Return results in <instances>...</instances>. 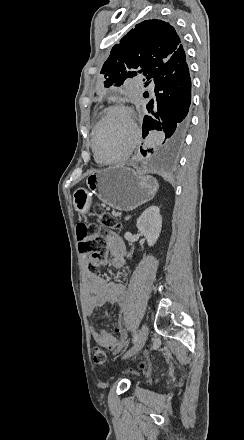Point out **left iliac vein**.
Wrapping results in <instances>:
<instances>
[{
    "instance_id": "left-iliac-vein-1",
    "label": "left iliac vein",
    "mask_w": 244,
    "mask_h": 440,
    "mask_svg": "<svg viewBox=\"0 0 244 440\" xmlns=\"http://www.w3.org/2000/svg\"><path fill=\"white\" fill-rule=\"evenodd\" d=\"M147 338H148V328L146 325H143L140 328V331L138 334V339L135 342L134 346L125 352V354L123 355V358H129V357L135 355L136 353H138L143 348Z\"/></svg>"
}]
</instances>
